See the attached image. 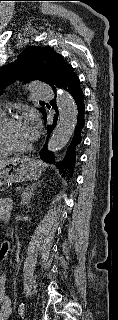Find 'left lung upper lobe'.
<instances>
[{
  "instance_id": "obj_1",
  "label": "left lung upper lobe",
  "mask_w": 118,
  "mask_h": 320,
  "mask_svg": "<svg viewBox=\"0 0 118 320\" xmlns=\"http://www.w3.org/2000/svg\"><path fill=\"white\" fill-rule=\"evenodd\" d=\"M72 66L50 47H27L18 59L0 68V90L15 80H41L54 90L64 80ZM42 114L45 111L40 108Z\"/></svg>"
}]
</instances>
